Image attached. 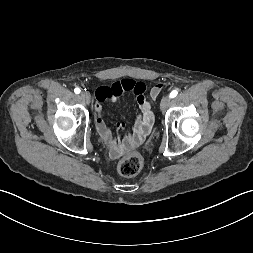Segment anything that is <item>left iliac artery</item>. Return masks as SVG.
I'll return each mask as SVG.
<instances>
[{"label": "left iliac artery", "instance_id": "obj_1", "mask_svg": "<svg viewBox=\"0 0 253 253\" xmlns=\"http://www.w3.org/2000/svg\"><path fill=\"white\" fill-rule=\"evenodd\" d=\"M177 94H178L177 90H173V91L170 93L169 97H170V98H174V97L177 96Z\"/></svg>", "mask_w": 253, "mask_h": 253}]
</instances>
